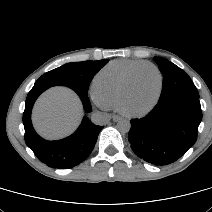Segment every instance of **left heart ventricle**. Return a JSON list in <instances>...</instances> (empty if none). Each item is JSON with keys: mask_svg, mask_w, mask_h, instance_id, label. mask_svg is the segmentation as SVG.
<instances>
[{"mask_svg": "<svg viewBox=\"0 0 212 212\" xmlns=\"http://www.w3.org/2000/svg\"><path fill=\"white\" fill-rule=\"evenodd\" d=\"M159 88V77L151 68L140 70L125 98L127 111L139 112L149 107L154 101Z\"/></svg>", "mask_w": 212, "mask_h": 212, "instance_id": "obj_1", "label": "left heart ventricle"}]
</instances>
